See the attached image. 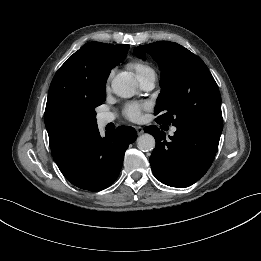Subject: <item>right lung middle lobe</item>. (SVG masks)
I'll list each match as a JSON object with an SVG mask.
<instances>
[{
    "mask_svg": "<svg viewBox=\"0 0 261 261\" xmlns=\"http://www.w3.org/2000/svg\"><path fill=\"white\" fill-rule=\"evenodd\" d=\"M106 99V88L99 95L98 100L79 110L68 112L62 120V131L67 137H75L97 127L95 108Z\"/></svg>",
    "mask_w": 261,
    "mask_h": 261,
    "instance_id": "obj_1",
    "label": "right lung middle lobe"
}]
</instances>
